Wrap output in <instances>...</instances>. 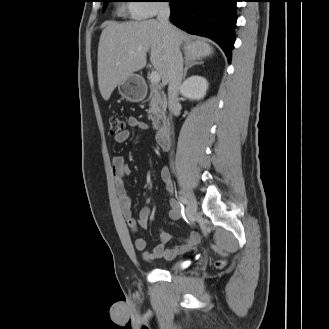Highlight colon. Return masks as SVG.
I'll return each instance as SVG.
<instances>
[{"mask_svg":"<svg viewBox=\"0 0 329 329\" xmlns=\"http://www.w3.org/2000/svg\"><path fill=\"white\" fill-rule=\"evenodd\" d=\"M125 129L124 122L121 118L118 116H111L109 118V130L112 135H117L121 132H123ZM223 261H218L217 266L221 267L223 266Z\"/></svg>","mask_w":329,"mask_h":329,"instance_id":"obj_1","label":"colon"}]
</instances>
